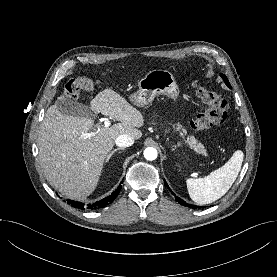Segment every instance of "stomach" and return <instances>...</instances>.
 Returning a JSON list of instances; mask_svg holds the SVG:
<instances>
[{
    "mask_svg": "<svg viewBox=\"0 0 277 277\" xmlns=\"http://www.w3.org/2000/svg\"><path fill=\"white\" fill-rule=\"evenodd\" d=\"M138 86L139 90L130 96L131 102L138 107L148 105L156 95L163 94L172 99H176L179 95L175 78L168 70L157 69L148 72L139 81Z\"/></svg>",
    "mask_w": 277,
    "mask_h": 277,
    "instance_id": "0dacf381",
    "label": "stomach"
}]
</instances>
